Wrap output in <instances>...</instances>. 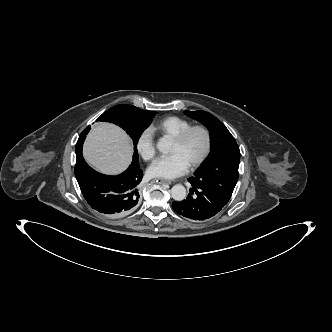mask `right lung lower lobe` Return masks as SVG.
I'll list each match as a JSON object with an SVG mask.
<instances>
[{"mask_svg": "<svg viewBox=\"0 0 332 332\" xmlns=\"http://www.w3.org/2000/svg\"><path fill=\"white\" fill-rule=\"evenodd\" d=\"M88 126L79 136L76 144L75 176L88 204L109 217H121L133 212L138 204L140 194L138 184L143 172L138 163L117 176H107L93 170L82 156V146Z\"/></svg>", "mask_w": 332, "mask_h": 332, "instance_id": "1", "label": "right lung lower lobe"}]
</instances>
